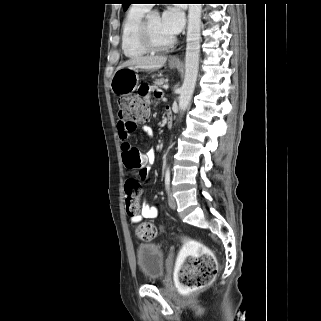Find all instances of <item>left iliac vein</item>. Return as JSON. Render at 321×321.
<instances>
[{
    "label": "left iliac vein",
    "mask_w": 321,
    "mask_h": 321,
    "mask_svg": "<svg viewBox=\"0 0 321 321\" xmlns=\"http://www.w3.org/2000/svg\"><path fill=\"white\" fill-rule=\"evenodd\" d=\"M168 204L172 209H175L177 206L176 200L171 192H169V194H168Z\"/></svg>",
    "instance_id": "1"
}]
</instances>
